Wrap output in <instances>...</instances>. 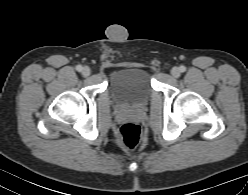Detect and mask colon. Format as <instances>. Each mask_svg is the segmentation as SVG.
<instances>
[{
	"label": "colon",
	"mask_w": 248,
	"mask_h": 195,
	"mask_svg": "<svg viewBox=\"0 0 248 195\" xmlns=\"http://www.w3.org/2000/svg\"><path fill=\"white\" fill-rule=\"evenodd\" d=\"M119 139L126 148H136L141 141V129L139 125L134 122L124 123L119 130Z\"/></svg>",
	"instance_id": "obj_1"
}]
</instances>
